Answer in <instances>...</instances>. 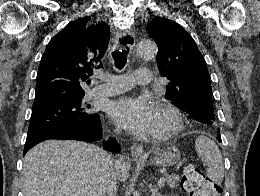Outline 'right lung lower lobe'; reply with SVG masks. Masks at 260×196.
Segmentation results:
<instances>
[{
    "mask_svg": "<svg viewBox=\"0 0 260 196\" xmlns=\"http://www.w3.org/2000/svg\"><path fill=\"white\" fill-rule=\"evenodd\" d=\"M101 131H102L101 122L99 117L96 115L95 120L91 123L85 124L83 126L71 130L47 135L37 140H34L32 142L25 143L23 155H25L26 152L36 144L49 139L80 140L88 143L94 142L96 140L101 139L102 137ZM103 147L104 149L113 153H118L120 151V145L117 143V141L114 138H110L109 140L104 142Z\"/></svg>",
    "mask_w": 260,
    "mask_h": 196,
    "instance_id": "obj_1",
    "label": "right lung lower lobe"
}]
</instances>
